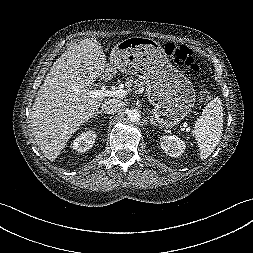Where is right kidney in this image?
Listing matches in <instances>:
<instances>
[{
    "instance_id": "obj_1",
    "label": "right kidney",
    "mask_w": 253,
    "mask_h": 253,
    "mask_svg": "<svg viewBox=\"0 0 253 253\" xmlns=\"http://www.w3.org/2000/svg\"><path fill=\"white\" fill-rule=\"evenodd\" d=\"M96 133L94 131L82 132L72 142V148L78 152L88 151L96 140Z\"/></svg>"
}]
</instances>
